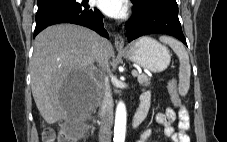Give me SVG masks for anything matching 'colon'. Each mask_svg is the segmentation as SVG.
I'll use <instances>...</instances> for the list:
<instances>
[{
  "instance_id": "colon-1",
  "label": "colon",
  "mask_w": 227,
  "mask_h": 142,
  "mask_svg": "<svg viewBox=\"0 0 227 142\" xmlns=\"http://www.w3.org/2000/svg\"><path fill=\"white\" fill-rule=\"evenodd\" d=\"M169 93L173 103L177 106L180 104L177 95V84L175 81L169 84ZM80 134V128L74 125L68 126L58 134L52 128H46L42 133V142H77Z\"/></svg>"
}]
</instances>
